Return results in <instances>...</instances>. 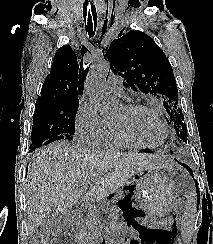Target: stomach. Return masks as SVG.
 Masks as SVG:
<instances>
[{"label":"stomach","mask_w":213,"mask_h":244,"mask_svg":"<svg viewBox=\"0 0 213 244\" xmlns=\"http://www.w3.org/2000/svg\"><path fill=\"white\" fill-rule=\"evenodd\" d=\"M135 196L142 201L148 218H163L174 211L179 191L175 183L159 169H145L128 181Z\"/></svg>","instance_id":"0dacf381"}]
</instances>
